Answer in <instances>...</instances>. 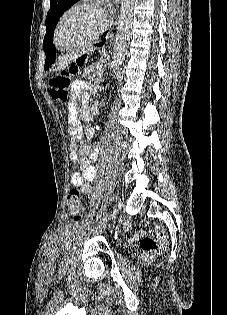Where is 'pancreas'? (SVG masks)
I'll list each match as a JSON object with an SVG mask.
<instances>
[{
	"label": "pancreas",
	"instance_id": "cf45deb5",
	"mask_svg": "<svg viewBox=\"0 0 227 315\" xmlns=\"http://www.w3.org/2000/svg\"><path fill=\"white\" fill-rule=\"evenodd\" d=\"M101 68L100 67H96V66H93V65H91V66H89V67H87L86 69H85V72H84V74H83V77L87 80V81H89V82H91V81H94V80H96L95 79V77H96V75H99V73H101Z\"/></svg>",
	"mask_w": 227,
	"mask_h": 315
}]
</instances>
